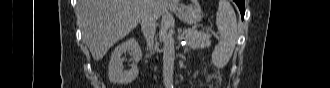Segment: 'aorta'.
<instances>
[{"mask_svg": "<svg viewBox=\"0 0 330 88\" xmlns=\"http://www.w3.org/2000/svg\"><path fill=\"white\" fill-rule=\"evenodd\" d=\"M175 45L169 31L163 36V83L165 88H173Z\"/></svg>", "mask_w": 330, "mask_h": 88, "instance_id": "obj_1", "label": "aorta"}]
</instances>
